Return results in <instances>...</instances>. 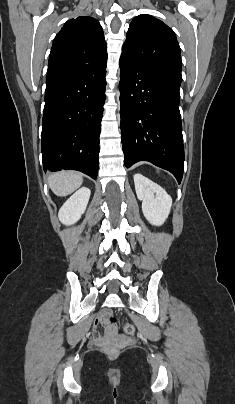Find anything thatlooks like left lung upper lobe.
Segmentation results:
<instances>
[{"label": "left lung upper lobe", "instance_id": "1", "mask_svg": "<svg viewBox=\"0 0 235 404\" xmlns=\"http://www.w3.org/2000/svg\"><path fill=\"white\" fill-rule=\"evenodd\" d=\"M122 55L182 81L181 51L176 35L150 15L141 14L132 20Z\"/></svg>", "mask_w": 235, "mask_h": 404}]
</instances>
